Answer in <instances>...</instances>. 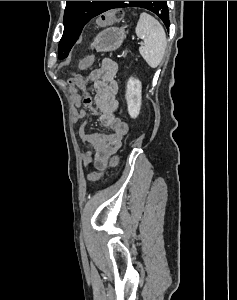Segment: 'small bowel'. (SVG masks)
<instances>
[{"instance_id": "obj_1", "label": "small bowel", "mask_w": 237, "mask_h": 300, "mask_svg": "<svg viewBox=\"0 0 237 300\" xmlns=\"http://www.w3.org/2000/svg\"><path fill=\"white\" fill-rule=\"evenodd\" d=\"M118 66L112 59H104L100 67L84 78L80 76L77 86L83 95H74L75 107L83 108L75 112L74 122L84 119L79 128V136L84 145L90 144L95 150L94 156L90 150H85L82 154L83 164L89 166L93 164L96 169L103 170L107 167L109 158L115 154L122 146V140L128 133V124L117 117L118 102L116 94L118 83L115 79ZM90 86L93 97L87 92ZM100 111L99 121L101 125L111 129L110 134L86 133L85 127L90 115Z\"/></svg>"}]
</instances>
